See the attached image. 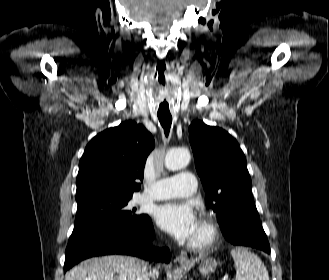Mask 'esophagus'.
Listing matches in <instances>:
<instances>
[{
    "mask_svg": "<svg viewBox=\"0 0 329 280\" xmlns=\"http://www.w3.org/2000/svg\"><path fill=\"white\" fill-rule=\"evenodd\" d=\"M181 265H186L190 263V260L188 259V257L186 255H180L177 257L176 259Z\"/></svg>",
    "mask_w": 329,
    "mask_h": 280,
    "instance_id": "34e87169",
    "label": "esophagus"
}]
</instances>
